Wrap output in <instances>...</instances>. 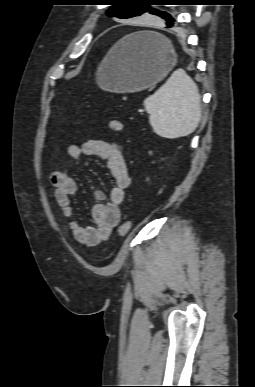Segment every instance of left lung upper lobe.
<instances>
[{
  "label": "left lung upper lobe",
  "mask_w": 255,
  "mask_h": 387,
  "mask_svg": "<svg viewBox=\"0 0 255 387\" xmlns=\"http://www.w3.org/2000/svg\"><path fill=\"white\" fill-rule=\"evenodd\" d=\"M143 0H114L116 2L108 11L107 14L110 17H118L121 19L131 18L135 16H140L143 12H148L152 9L148 5L141 4ZM160 15L167 22H170L173 18L165 12L155 11L152 12Z\"/></svg>",
  "instance_id": "obj_1"
}]
</instances>
